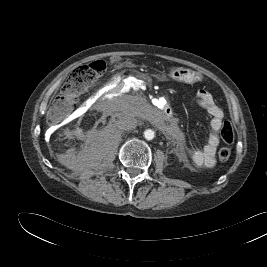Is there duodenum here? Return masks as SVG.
<instances>
[{
  "label": "duodenum",
  "instance_id": "1",
  "mask_svg": "<svg viewBox=\"0 0 267 267\" xmlns=\"http://www.w3.org/2000/svg\"><path fill=\"white\" fill-rule=\"evenodd\" d=\"M126 91V83L124 81H117L112 85V92L114 94H121ZM160 112L166 114L171 119V109L169 106H164L160 109Z\"/></svg>",
  "mask_w": 267,
  "mask_h": 267
}]
</instances>
